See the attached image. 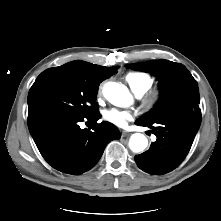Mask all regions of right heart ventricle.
<instances>
[{"label":"right heart ventricle","instance_id":"right-heart-ventricle-1","mask_svg":"<svg viewBox=\"0 0 221 221\" xmlns=\"http://www.w3.org/2000/svg\"><path fill=\"white\" fill-rule=\"evenodd\" d=\"M126 82L135 94L143 95L152 85L153 78L144 72H131L125 77Z\"/></svg>","mask_w":221,"mask_h":221}]
</instances>
